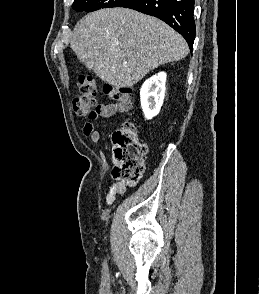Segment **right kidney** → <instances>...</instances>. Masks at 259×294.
Segmentation results:
<instances>
[{
	"instance_id": "obj_1",
	"label": "right kidney",
	"mask_w": 259,
	"mask_h": 294,
	"mask_svg": "<svg viewBox=\"0 0 259 294\" xmlns=\"http://www.w3.org/2000/svg\"><path fill=\"white\" fill-rule=\"evenodd\" d=\"M166 73L160 72L147 79L141 87V107L147 119L156 116L165 97Z\"/></svg>"
}]
</instances>
